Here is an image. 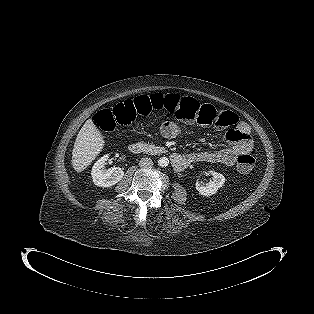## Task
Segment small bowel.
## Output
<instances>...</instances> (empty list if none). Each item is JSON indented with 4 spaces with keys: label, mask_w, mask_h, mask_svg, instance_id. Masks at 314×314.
<instances>
[{
    "label": "small bowel",
    "mask_w": 314,
    "mask_h": 314,
    "mask_svg": "<svg viewBox=\"0 0 314 314\" xmlns=\"http://www.w3.org/2000/svg\"><path fill=\"white\" fill-rule=\"evenodd\" d=\"M180 132V126L172 121L164 122L161 126V135L167 139L177 137ZM225 139L228 145L224 148L197 152L189 156L193 157L194 162H209L231 166L236 162L239 155L249 153L252 150L253 141L250 136V127L245 122L237 123L236 127L226 134Z\"/></svg>",
    "instance_id": "1"
}]
</instances>
